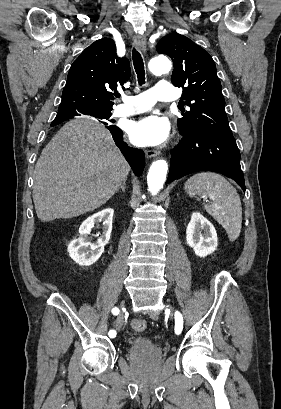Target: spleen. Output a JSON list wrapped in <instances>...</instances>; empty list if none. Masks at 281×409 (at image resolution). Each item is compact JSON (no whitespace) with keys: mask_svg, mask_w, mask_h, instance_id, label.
<instances>
[{"mask_svg":"<svg viewBox=\"0 0 281 409\" xmlns=\"http://www.w3.org/2000/svg\"><path fill=\"white\" fill-rule=\"evenodd\" d=\"M185 190L193 196H205L212 200L211 205H204L209 215L225 229L229 241H236L242 229V205L240 196L221 174L216 172H197L185 182Z\"/></svg>","mask_w":281,"mask_h":409,"instance_id":"3e777b00","label":"spleen"}]
</instances>
